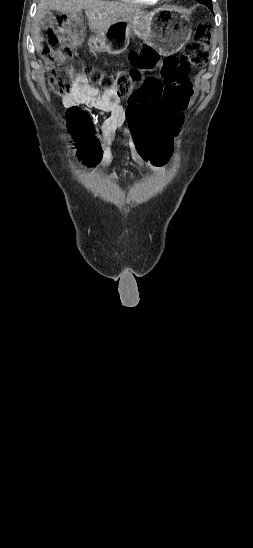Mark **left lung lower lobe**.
I'll use <instances>...</instances> for the list:
<instances>
[{
	"instance_id": "left-lung-lower-lobe-1",
	"label": "left lung lower lobe",
	"mask_w": 253,
	"mask_h": 548,
	"mask_svg": "<svg viewBox=\"0 0 253 548\" xmlns=\"http://www.w3.org/2000/svg\"><path fill=\"white\" fill-rule=\"evenodd\" d=\"M199 3L205 4L210 10H212V1L211 0H197Z\"/></svg>"
}]
</instances>
